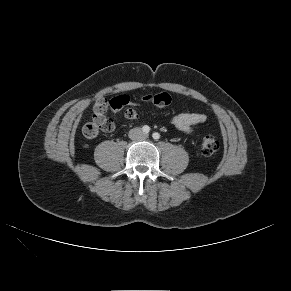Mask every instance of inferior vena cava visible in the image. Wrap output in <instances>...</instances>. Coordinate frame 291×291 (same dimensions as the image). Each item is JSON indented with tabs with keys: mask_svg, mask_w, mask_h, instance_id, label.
Here are the masks:
<instances>
[{
	"mask_svg": "<svg viewBox=\"0 0 291 291\" xmlns=\"http://www.w3.org/2000/svg\"><path fill=\"white\" fill-rule=\"evenodd\" d=\"M129 137L131 139H142L144 138V134L140 128H134L130 131Z\"/></svg>",
	"mask_w": 291,
	"mask_h": 291,
	"instance_id": "obj_1",
	"label": "inferior vena cava"
}]
</instances>
